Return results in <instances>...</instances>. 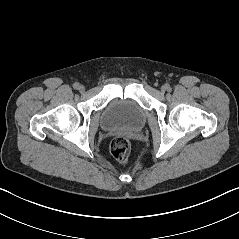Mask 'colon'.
Listing matches in <instances>:
<instances>
[{
  "instance_id": "obj_1",
  "label": "colon",
  "mask_w": 239,
  "mask_h": 239,
  "mask_svg": "<svg viewBox=\"0 0 239 239\" xmlns=\"http://www.w3.org/2000/svg\"><path fill=\"white\" fill-rule=\"evenodd\" d=\"M110 151L117 162L126 163L131 152L130 142L124 137H116L111 142Z\"/></svg>"
}]
</instances>
